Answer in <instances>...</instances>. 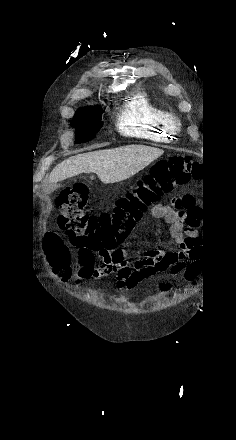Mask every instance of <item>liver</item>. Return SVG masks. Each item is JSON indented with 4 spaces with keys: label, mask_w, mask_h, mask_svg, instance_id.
I'll return each instance as SVG.
<instances>
[{
    "label": "liver",
    "mask_w": 236,
    "mask_h": 440,
    "mask_svg": "<svg viewBox=\"0 0 236 440\" xmlns=\"http://www.w3.org/2000/svg\"><path fill=\"white\" fill-rule=\"evenodd\" d=\"M164 153L143 145H127L71 156L50 173L49 182L57 183L81 173L93 172L104 184L134 176Z\"/></svg>",
    "instance_id": "1"
}]
</instances>
